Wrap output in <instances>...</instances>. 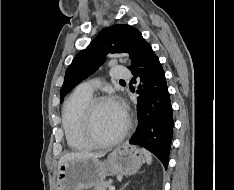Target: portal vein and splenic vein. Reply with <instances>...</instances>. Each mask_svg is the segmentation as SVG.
Segmentation results:
<instances>
[{
  "mask_svg": "<svg viewBox=\"0 0 234 190\" xmlns=\"http://www.w3.org/2000/svg\"><path fill=\"white\" fill-rule=\"evenodd\" d=\"M109 190H115V187L114 186H110Z\"/></svg>",
  "mask_w": 234,
  "mask_h": 190,
  "instance_id": "portal-vein-and-splenic-vein-1",
  "label": "portal vein and splenic vein"
}]
</instances>
